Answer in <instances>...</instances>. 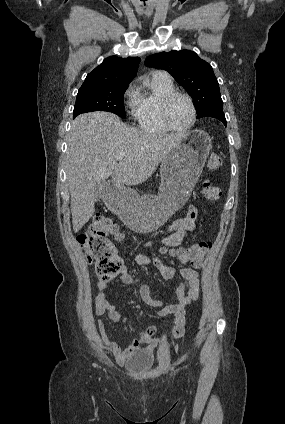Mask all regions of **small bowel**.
I'll use <instances>...</instances> for the list:
<instances>
[{
  "label": "small bowel",
  "instance_id": "small-bowel-1",
  "mask_svg": "<svg viewBox=\"0 0 285 424\" xmlns=\"http://www.w3.org/2000/svg\"><path fill=\"white\" fill-rule=\"evenodd\" d=\"M198 211L194 206H191L187 216L177 218L167 229V233L160 240H152L146 242L142 248L135 254V261L137 264L146 267H152L158 275L170 281L179 278L181 281L174 287L175 303L164 304L160 300L153 299L150 293V287L147 284L139 285L133 277L127 272V268L123 266L119 281L125 285L137 286L139 299L148 306L160 307L158 316L163 318L170 315L175 316V324L172 330L164 337H157V328L150 326L144 330L139 338L126 348H122L117 342L112 340L106 331V326L103 321L98 323L99 332L105 346L114 354L119 364H125L129 355L141 345H146L149 349L156 348L163 340H174L181 337L185 330L184 309L187 305L197 300L200 293V274L195 269L183 268L173 269L166 266L156 254L151 257L146 255L145 250L151 248L156 243H161L165 247L178 246L183 238L196 229V219ZM108 281L99 279L97 283V295L95 298V312L99 316H105L114 322L116 325L123 323L124 319L122 314L118 311L116 306L108 299L106 289ZM182 316L183 322L178 327V318Z\"/></svg>",
  "mask_w": 285,
  "mask_h": 424
}]
</instances>
